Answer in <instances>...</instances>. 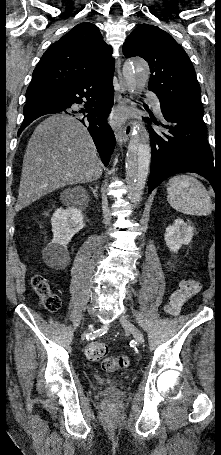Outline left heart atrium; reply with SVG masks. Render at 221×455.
Masks as SVG:
<instances>
[{
	"mask_svg": "<svg viewBox=\"0 0 221 455\" xmlns=\"http://www.w3.org/2000/svg\"><path fill=\"white\" fill-rule=\"evenodd\" d=\"M121 119H122V115L119 114V113L114 116V121L115 122H119Z\"/></svg>",
	"mask_w": 221,
	"mask_h": 455,
	"instance_id": "obj_1",
	"label": "left heart atrium"
}]
</instances>
